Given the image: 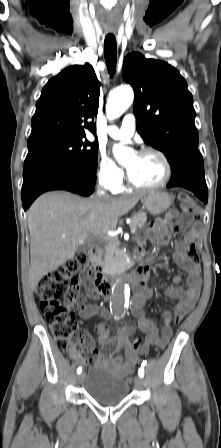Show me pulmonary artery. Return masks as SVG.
Masks as SVG:
<instances>
[{"label":"pulmonary artery","instance_id":"1","mask_svg":"<svg viewBox=\"0 0 221 448\" xmlns=\"http://www.w3.org/2000/svg\"><path fill=\"white\" fill-rule=\"evenodd\" d=\"M106 133L114 139H128L135 133V117L128 114L123 118L122 126H108Z\"/></svg>","mask_w":221,"mask_h":448}]
</instances>
